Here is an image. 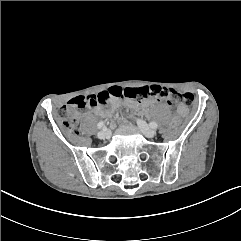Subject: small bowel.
<instances>
[{
  "label": "small bowel",
  "instance_id": "small-bowel-1",
  "mask_svg": "<svg viewBox=\"0 0 241 241\" xmlns=\"http://www.w3.org/2000/svg\"><path fill=\"white\" fill-rule=\"evenodd\" d=\"M128 103L132 106H141V107H147L148 105L152 104L153 103V100L152 99H146L142 102H136V101H132V100H129ZM178 111L180 114H184L185 113V108L183 107H179L178 108ZM95 112L98 114V115H101V116H106L107 115V112L104 111L101 107H96L95 108Z\"/></svg>",
  "mask_w": 241,
  "mask_h": 241
}]
</instances>
